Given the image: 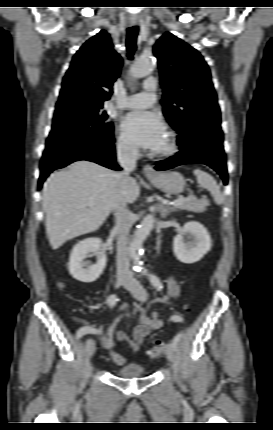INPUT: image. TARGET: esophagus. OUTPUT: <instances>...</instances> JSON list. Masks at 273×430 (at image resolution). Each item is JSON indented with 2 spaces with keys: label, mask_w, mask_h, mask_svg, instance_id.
<instances>
[{
  "label": "esophagus",
  "mask_w": 273,
  "mask_h": 430,
  "mask_svg": "<svg viewBox=\"0 0 273 430\" xmlns=\"http://www.w3.org/2000/svg\"><path fill=\"white\" fill-rule=\"evenodd\" d=\"M137 24H138L137 22H130V25H131V26H135V25H137ZM143 173H144L146 176H153V175H155V174H156V172H155V170L153 169V167H152L151 165H149V164L144 165V167H143Z\"/></svg>",
  "instance_id": "obj_1"
}]
</instances>
